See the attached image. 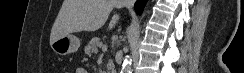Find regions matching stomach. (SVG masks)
<instances>
[{
    "mask_svg": "<svg viewBox=\"0 0 244 73\" xmlns=\"http://www.w3.org/2000/svg\"><path fill=\"white\" fill-rule=\"evenodd\" d=\"M80 47V40L71 34L60 37L51 43V49L58 55L64 56L76 52Z\"/></svg>",
    "mask_w": 244,
    "mask_h": 73,
    "instance_id": "stomach-1",
    "label": "stomach"
}]
</instances>
